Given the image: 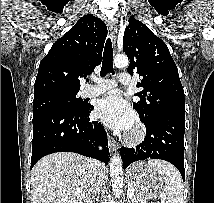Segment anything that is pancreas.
Segmentation results:
<instances>
[{
    "label": "pancreas",
    "instance_id": "cf45deb5",
    "mask_svg": "<svg viewBox=\"0 0 214 203\" xmlns=\"http://www.w3.org/2000/svg\"><path fill=\"white\" fill-rule=\"evenodd\" d=\"M130 203H139L137 198L135 197V194L134 196L130 199Z\"/></svg>",
    "mask_w": 214,
    "mask_h": 203
}]
</instances>
